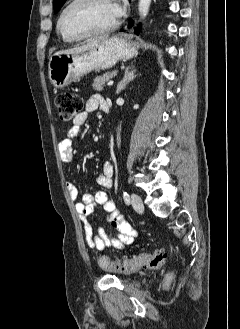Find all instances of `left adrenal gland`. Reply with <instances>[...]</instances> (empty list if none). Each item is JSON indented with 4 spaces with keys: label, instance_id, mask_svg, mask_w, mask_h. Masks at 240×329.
Masks as SVG:
<instances>
[{
    "label": "left adrenal gland",
    "instance_id": "a2214340",
    "mask_svg": "<svg viewBox=\"0 0 240 329\" xmlns=\"http://www.w3.org/2000/svg\"><path fill=\"white\" fill-rule=\"evenodd\" d=\"M135 72L136 70L133 69V66H128L126 68L123 79L117 85L116 94H119L122 90H124L126 85L136 77Z\"/></svg>",
    "mask_w": 240,
    "mask_h": 329
}]
</instances>
